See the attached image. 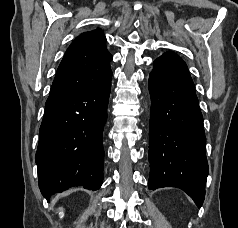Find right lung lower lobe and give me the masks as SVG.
Instances as JSON below:
<instances>
[{
	"label": "right lung lower lobe",
	"instance_id": "98d812e1",
	"mask_svg": "<svg viewBox=\"0 0 238 228\" xmlns=\"http://www.w3.org/2000/svg\"><path fill=\"white\" fill-rule=\"evenodd\" d=\"M111 77L108 68L92 85L49 95L35 157L45 198L73 186L96 190L102 185Z\"/></svg>",
	"mask_w": 238,
	"mask_h": 228
}]
</instances>
